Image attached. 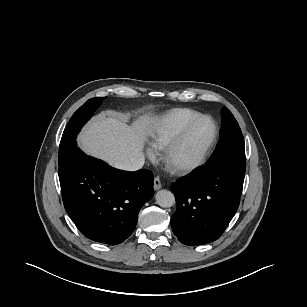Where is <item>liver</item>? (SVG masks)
I'll return each mask as SVG.
<instances>
[{
	"label": "liver",
	"mask_w": 307,
	"mask_h": 307,
	"mask_svg": "<svg viewBox=\"0 0 307 307\" xmlns=\"http://www.w3.org/2000/svg\"><path fill=\"white\" fill-rule=\"evenodd\" d=\"M156 127L157 120L150 115L128 125L122 117L100 114L83 129L78 143L85 153L115 166L143 156L145 141Z\"/></svg>",
	"instance_id": "6515ba94"
}]
</instances>
